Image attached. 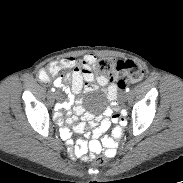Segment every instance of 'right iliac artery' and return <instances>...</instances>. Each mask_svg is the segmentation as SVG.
Returning a JSON list of instances; mask_svg holds the SVG:
<instances>
[{"label": "right iliac artery", "mask_w": 183, "mask_h": 183, "mask_svg": "<svg viewBox=\"0 0 183 183\" xmlns=\"http://www.w3.org/2000/svg\"><path fill=\"white\" fill-rule=\"evenodd\" d=\"M51 91L54 92V91H55V88H51ZM58 108H59V105L57 104V105L55 106V109H58Z\"/></svg>", "instance_id": "right-iliac-artery-1"}]
</instances>
